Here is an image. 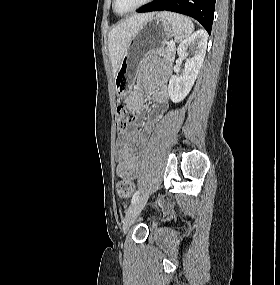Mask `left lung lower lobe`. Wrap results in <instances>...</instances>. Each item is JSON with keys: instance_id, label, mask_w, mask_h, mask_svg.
<instances>
[{"instance_id": "1", "label": "left lung lower lobe", "mask_w": 280, "mask_h": 285, "mask_svg": "<svg viewBox=\"0 0 280 285\" xmlns=\"http://www.w3.org/2000/svg\"><path fill=\"white\" fill-rule=\"evenodd\" d=\"M216 0H154L142 6L137 12L173 11L193 17L211 33Z\"/></svg>"}]
</instances>
